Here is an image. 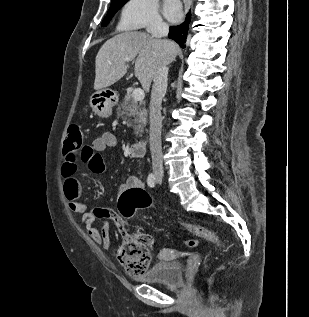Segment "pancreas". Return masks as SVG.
Instances as JSON below:
<instances>
[{
	"label": "pancreas",
	"mask_w": 309,
	"mask_h": 317,
	"mask_svg": "<svg viewBox=\"0 0 309 317\" xmlns=\"http://www.w3.org/2000/svg\"><path fill=\"white\" fill-rule=\"evenodd\" d=\"M118 111L125 119L128 117L134 118L128 120V125L134 126L135 135H141L147 124V110L145 109V103L135 101L132 94L127 93L121 107L118 108Z\"/></svg>",
	"instance_id": "obj_1"
}]
</instances>
